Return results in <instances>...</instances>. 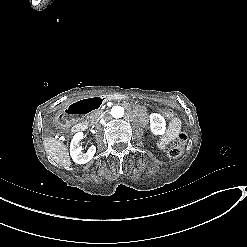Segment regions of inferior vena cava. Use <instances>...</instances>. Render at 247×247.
I'll list each match as a JSON object with an SVG mask.
<instances>
[{"mask_svg":"<svg viewBox=\"0 0 247 247\" xmlns=\"http://www.w3.org/2000/svg\"><path fill=\"white\" fill-rule=\"evenodd\" d=\"M104 115H106V113H104V114L102 115V117H103Z\"/></svg>","mask_w":247,"mask_h":247,"instance_id":"1","label":"inferior vena cava"}]
</instances>
